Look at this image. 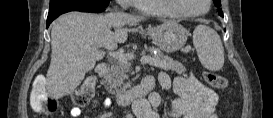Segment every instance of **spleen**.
<instances>
[{
	"label": "spleen",
	"instance_id": "1",
	"mask_svg": "<svg viewBox=\"0 0 273 118\" xmlns=\"http://www.w3.org/2000/svg\"><path fill=\"white\" fill-rule=\"evenodd\" d=\"M193 44L204 68L219 71L224 65V48L220 36L206 25H198L193 32Z\"/></svg>",
	"mask_w": 273,
	"mask_h": 118
}]
</instances>
